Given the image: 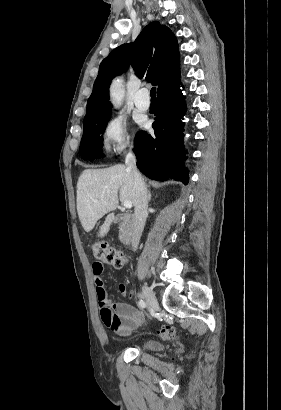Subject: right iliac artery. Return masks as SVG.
<instances>
[{
  "label": "right iliac artery",
  "instance_id": "right-iliac-artery-1",
  "mask_svg": "<svg viewBox=\"0 0 281 410\" xmlns=\"http://www.w3.org/2000/svg\"><path fill=\"white\" fill-rule=\"evenodd\" d=\"M139 307H141V308H145L146 307V303H145V301L144 300H140L139 301Z\"/></svg>",
  "mask_w": 281,
  "mask_h": 410
}]
</instances>
